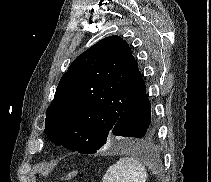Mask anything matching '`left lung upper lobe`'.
I'll return each instance as SVG.
<instances>
[{
	"instance_id": "left-lung-upper-lobe-1",
	"label": "left lung upper lobe",
	"mask_w": 211,
	"mask_h": 182,
	"mask_svg": "<svg viewBox=\"0 0 211 182\" xmlns=\"http://www.w3.org/2000/svg\"><path fill=\"white\" fill-rule=\"evenodd\" d=\"M144 87L126 41L106 37L79 55L60 79L46 112L44 132L56 145L95 153Z\"/></svg>"
}]
</instances>
